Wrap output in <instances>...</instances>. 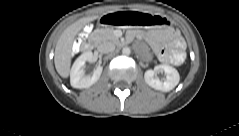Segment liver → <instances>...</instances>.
Returning a JSON list of instances; mask_svg holds the SVG:
<instances>
[{"mask_svg": "<svg viewBox=\"0 0 239 136\" xmlns=\"http://www.w3.org/2000/svg\"><path fill=\"white\" fill-rule=\"evenodd\" d=\"M97 18L98 16L81 18L68 26L60 35L55 47L54 63L55 68L61 77L67 78L69 76L72 44L75 36L87 23L92 22Z\"/></svg>", "mask_w": 239, "mask_h": 136, "instance_id": "obj_1", "label": "liver"}]
</instances>
